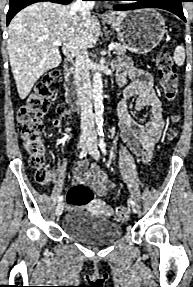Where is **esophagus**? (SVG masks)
<instances>
[{
    "instance_id": "1",
    "label": "esophagus",
    "mask_w": 193,
    "mask_h": 287,
    "mask_svg": "<svg viewBox=\"0 0 193 287\" xmlns=\"http://www.w3.org/2000/svg\"><path fill=\"white\" fill-rule=\"evenodd\" d=\"M103 18L108 19L110 16L107 13H103Z\"/></svg>"
}]
</instances>
